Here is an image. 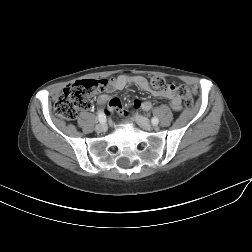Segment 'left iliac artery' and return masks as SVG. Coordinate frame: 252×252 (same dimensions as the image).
Masks as SVG:
<instances>
[{
  "label": "left iliac artery",
  "mask_w": 252,
  "mask_h": 252,
  "mask_svg": "<svg viewBox=\"0 0 252 252\" xmlns=\"http://www.w3.org/2000/svg\"><path fill=\"white\" fill-rule=\"evenodd\" d=\"M159 123V119L157 117L152 118V124L157 125Z\"/></svg>",
  "instance_id": "left-iliac-artery-1"
}]
</instances>
